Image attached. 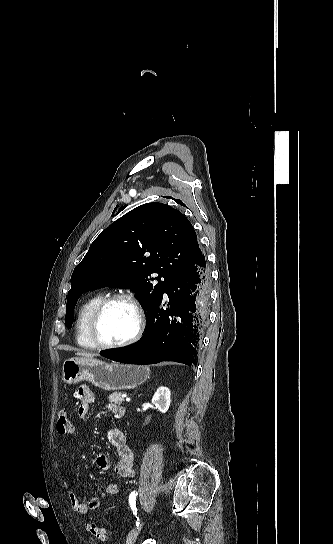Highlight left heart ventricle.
Segmentation results:
<instances>
[{"label":"left heart ventricle","instance_id":"left-heart-ventricle-1","mask_svg":"<svg viewBox=\"0 0 333 544\" xmlns=\"http://www.w3.org/2000/svg\"><path fill=\"white\" fill-rule=\"evenodd\" d=\"M136 328V315L126 302L116 301L103 312L99 324L98 335L105 343H118L129 338Z\"/></svg>","mask_w":333,"mask_h":544}]
</instances>
